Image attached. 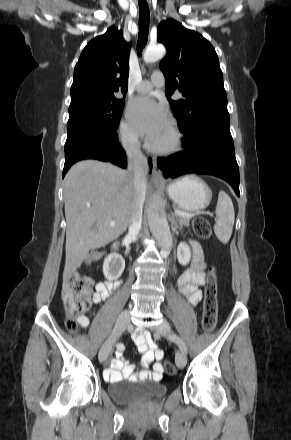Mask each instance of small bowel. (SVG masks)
Segmentation results:
<instances>
[{
    "label": "small bowel",
    "mask_w": 291,
    "mask_h": 440,
    "mask_svg": "<svg viewBox=\"0 0 291 440\" xmlns=\"http://www.w3.org/2000/svg\"><path fill=\"white\" fill-rule=\"evenodd\" d=\"M189 243L192 248L191 267L180 277L179 290L184 296H186L190 304L196 305L203 298L201 287L205 283L204 270L206 268V261L200 243L196 240H190ZM118 286V282L97 284L94 301L99 302L107 299ZM78 321L82 327H87L89 325V318L86 316L79 317ZM133 339L137 343L138 349L142 354L141 366L147 368L153 363V370H142L137 372L135 365L130 364L123 357L122 353L118 352L117 356L111 359L110 366L104 372L105 379L116 381L126 378L135 381L157 379L161 376L163 373V366L160 363V360L163 355L157 344L151 339L150 334L141 331L139 334H134Z\"/></svg>",
    "instance_id": "obj_1"
}]
</instances>
